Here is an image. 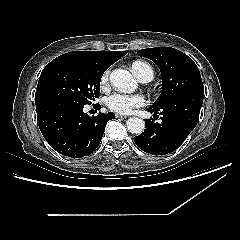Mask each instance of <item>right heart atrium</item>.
<instances>
[{
  "label": "right heart atrium",
  "mask_w": 240,
  "mask_h": 240,
  "mask_svg": "<svg viewBox=\"0 0 240 240\" xmlns=\"http://www.w3.org/2000/svg\"><path fill=\"white\" fill-rule=\"evenodd\" d=\"M109 76H110V69H107L103 72L101 79H100V84L102 88H105L109 84Z\"/></svg>",
  "instance_id": "d8ad5b80"
}]
</instances>
